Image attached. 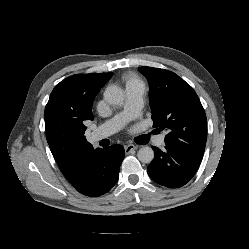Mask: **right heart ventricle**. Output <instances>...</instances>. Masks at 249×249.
Segmentation results:
<instances>
[{
	"instance_id": "e07e8e85",
	"label": "right heart ventricle",
	"mask_w": 249,
	"mask_h": 249,
	"mask_svg": "<svg viewBox=\"0 0 249 249\" xmlns=\"http://www.w3.org/2000/svg\"><path fill=\"white\" fill-rule=\"evenodd\" d=\"M134 86L144 87V84L136 75H128L126 77V88Z\"/></svg>"
}]
</instances>
